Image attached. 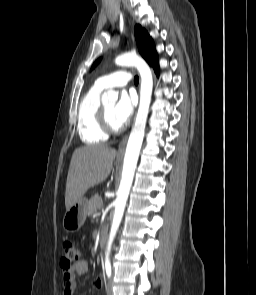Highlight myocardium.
<instances>
[{"instance_id": "1", "label": "myocardium", "mask_w": 256, "mask_h": 295, "mask_svg": "<svg viewBox=\"0 0 256 295\" xmlns=\"http://www.w3.org/2000/svg\"><path fill=\"white\" fill-rule=\"evenodd\" d=\"M99 124L104 133L117 134L120 132V127H115L111 124L104 105L101 104L99 109Z\"/></svg>"}]
</instances>
